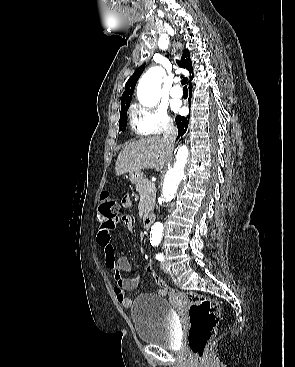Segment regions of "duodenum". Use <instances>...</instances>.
<instances>
[{"label": "duodenum", "mask_w": 295, "mask_h": 367, "mask_svg": "<svg viewBox=\"0 0 295 367\" xmlns=\"http://www.w3.org/2000/svg\"><path fill=\"white\" fill-rule=\"evenodd\" d=\"M154 216L152 214H146L143 218V226L146 229H149L153 223Z\"/></svg>", "instance_id": "duodenum-1"}]
</instances>
